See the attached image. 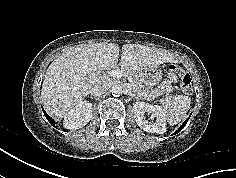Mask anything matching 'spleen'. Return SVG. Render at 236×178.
Returning <instances> with one entry per match:
<instances>
[{
	"mask_svg": "<svg viewBox=\"0 0 236 178\" xmlns=\"http://www.w3.org/2000/svg\"><path fill=\"white\" fill-rule=\"evenodd\" d=\"M190 103L191 99L188 96L167 95L163 107L168 123L173 126L181 122L190 108Z\"/></svg>",
	"mask_w": 236,
	"mask_h": 178,
	"instance_id": "spleen-1",
	"label": "spleen"
}]
</instances>
